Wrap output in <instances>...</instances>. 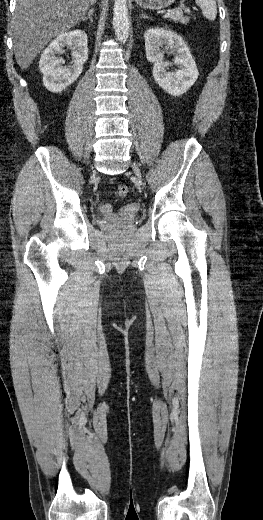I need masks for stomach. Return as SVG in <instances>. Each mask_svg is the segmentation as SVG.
Masks as SVG:
<instances>
[{
	"label": "stomach",
	"mask_w": 263,
	"mask_h": 520,
	"mask_svg": "<svg viewBox=\"0 0 263 520\" xmlns=\"http://www.w3.org/2000/svg\"><path fill=\"white\" fill-rule=\"evenodd\" d=\"M137 5L144 9L159 10L172 5L175 0H134Z\"/></svg>",
	"instance_id": "1"
}]
</instances>
